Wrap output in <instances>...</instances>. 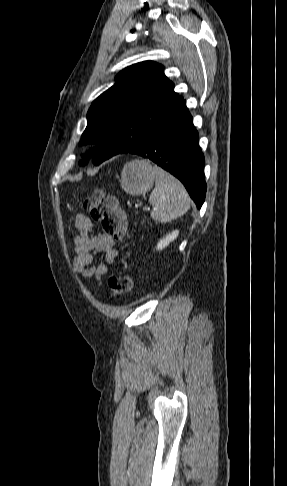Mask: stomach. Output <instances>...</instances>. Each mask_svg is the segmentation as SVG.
Wrapping results in <instances>:
<instances>
[{"label": "stomach", "instance_id": "stomach-1", "mask_svg": "<svg viewBox=\"0 0 287 486\" xmlns=\"http://www.w3.org/2000/svg\"><path fill=\"white\" fill-rule=\"evenodd\" d=\"M155 173L146 160L126 163L121 172L120 184L125 192L138 196L148 192L154 183Z\"/></svg>", "mask_w": 287, "mask_h": 486}]
</instances>
